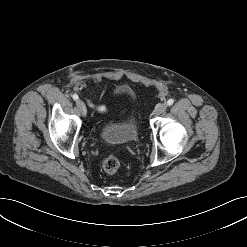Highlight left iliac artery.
Here are the masks:
<instances>
[{
    "label": "left iliac artery",
    "instance_id": "left-iliac-artery-1",
    "mask_svg": "<svg viewBox=\"0 0 247 247\" xmlns=\"http://www.w3.org/2000/svg\"><path fill=\"white\" fill-rule=\"evenodd\" d=\"M173 103H174V100H173V99H169V100L167 101V105H168V106H171Z\"/></svg>",
    "mask_w": 247,
    "mask_h": 247
}]
</instances>
